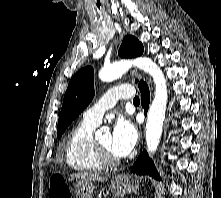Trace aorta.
<instances>
[{
    "label": "aorta",
    "instance_id": "aorta-1",
    "mask_svg": "<svg viewBox=\"0 0 221 198\" xmlns=\"http://www.w3.org/2000/svg\"><path fill=\"white\" fill-rule=\"evenodd\" d=\"M132 65L150 74L155 83V96L148 111L146 124L147 150L153 154L160 142L168 99L166 79L160 67L146 57L137 58L133 61H118L102 68L99 72V78L104 82L113 81L127 72Z\"/></svg>",
    "mask_w": 221,
    "mask_h": 198
}]
</instances>
